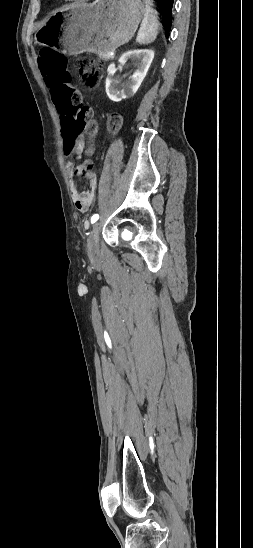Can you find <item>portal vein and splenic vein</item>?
I'll return each instance as SVG.
<instances>
[{
    "label": "portal vein and splenic vein",
    "instance_id": "obj_1",
    "mask_svg": "<svg viewBox=\"0 0 253 548\" xmlns=\"http://www.w3.org/2000/svg\"><path fill=\"white\" fill-rule=\"evenodd\" d=\"M110 56H112V57H113V56H114V53H110Z\"/></svg>",
    "mask_w": 253,
    "mask_h": 548
}]
</instances>
